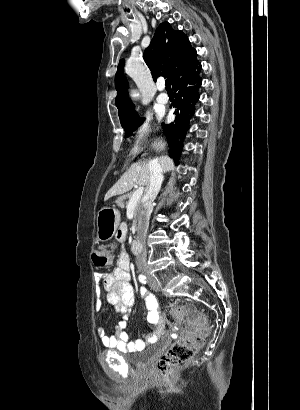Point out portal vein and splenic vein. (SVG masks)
Segmentation results:
<instances>
[{"label": "portal vein and splenic vein", "mask_w": 300, "mask_h": 410, "mask_svg": "<svg viewBox=\"0 0 300 410\" xmlns=\"http://www.w3.org/2000/svg\"><path fill=\"white\" fill-rule=\"evenodd\" d=\"M144 191V187H139L132 195L130 198L128 204H127V210L132 209L133 207L136 206L137 202L140 200L142 194Z\"/></svg>", "instance_id": "18ae733b"}]
</instances>
